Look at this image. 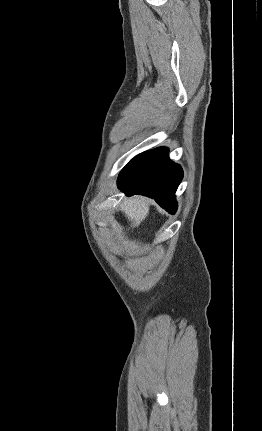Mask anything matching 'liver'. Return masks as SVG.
<instances>
[{
  "label": "liver",
  "instance_id": "1",
  "mask_svg": "<svg viewBox=\"0 0 262 431\" xmlns=\"http://www.w3.org/2000/svg\"><path fill=\"white\" fill-rule=\"evenodd\" d=\"M131 221V226H139L149 214V201L143 197H132L124 201L120 209Z\"/></svg>",
  "mask_w": 262,
  "mask_h": 431
}]
</instances>
